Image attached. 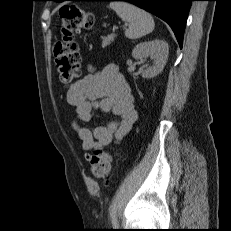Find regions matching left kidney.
<instances>
[{
    "label": "left kidney",
    "mask_w": 231,
    "mask_h": 231,
    "mask_svg": "<svg viewBox=\"0 0 231 231\" xmlns=\"http://www.w3.org/2000/svg\"><path fill=\"white\" fill-rule=\"evenodd\" d=\"M168 53V43L156 39L136 45L132 51V56L137 60H142L146 57H151V59H153V65L142 71V77L153 78L163 70L168 58Z\"/></svg>",
    "instance_id": "1"
}]
</instances>
